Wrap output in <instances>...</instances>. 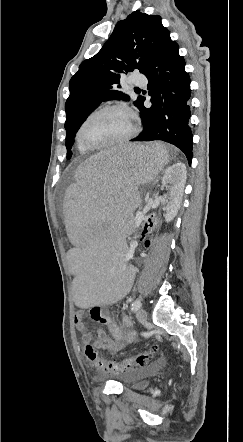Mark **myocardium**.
Instances as JSON below:
<instances>
[{"label":"myocardium","mask_w":243,"mask_h":442,"mask_svg":"<svg viewBox=\"0 0 243 442\" xmlns=\"http://www.w3.org/2000/svg\"><path fill=\"white\" fill-rule=\"evenodd\" d=\"M111 111H123V112H126L130 116V118L132 120V128H131L130 132L122 138H118V139H115V140H112L110 142H106L103 144L90 145V144L86 143L83 139V136H82L85 126L92 119H94L98 116H101L103 114H106L108 112H111ZM137 131H138V125H137L136 117H135L134 113L132 112V110L126 105L114 104V105L102 107V108L92 112L90 115H88L79 127V130L77 133V139L80 142V144L84 148H86L87 150H100V149H105V148L121 145V144H124V143L130 141L135 136Z\"/></svg>","instance_id":"obj_1"}]
</instances>
